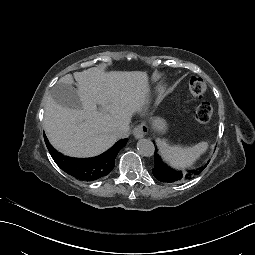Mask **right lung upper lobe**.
I'll return each instance as SVG.
<instances>
[{"mask_svg":"<svg viewBox=\"0 0 255 255\" xmlns=\"http://www.w3.org/2000/svg\"><path fill=\"white\" fill-rule=\"evenodd\" d=\"M125 144L126 139H122L100 156L88 159H78L62 155L49 144L48 140H46L48 151L59 168L67 174L83 181H86L83 179V166L85 164H92L94 166V179L91 181L109 174L115 166V157Z\"/></svg>","mask_w":255,"mask_h":255,"instance_id":"1","label":"right lung upper lobe"}]
</instances>
